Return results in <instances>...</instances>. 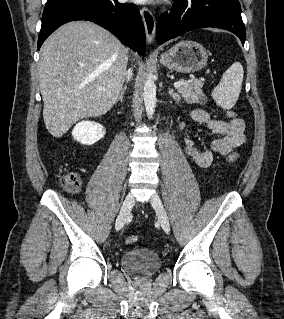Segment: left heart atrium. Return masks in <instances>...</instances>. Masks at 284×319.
Returning a JSON list of instances; mask_svg holds the SVG:
<instances>
[{"label":"left heart atrium","instance_id":"1","mask_svg":"<svg viewBox=\"0 0 284 319\" xmlns=\"http://www.w3.org/2000/svg\"><path fill=\"white\" fill-rule=\"evenodd\" d=\"M132 1H134L136 3H146V2H149L151 0H132Z\"/></svg>","mask_w":284,"mask_h":319}]
</instances>
